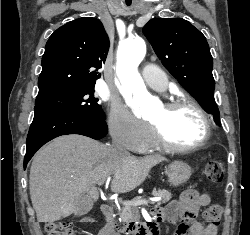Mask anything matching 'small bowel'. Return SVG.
<instances>
[{"mask_svg":"<svg viewBox=\"0 0 250 235\" xmlns=\"http://www.w3.org/2000/svg\"><path fill=\"white\" fill-rule=\"evenodd\" d=\"M210 196L195 190L184 191L178 200L170 202L164 208L153 211V218L159 222H174L180 215L182 222L177 226L173 235H217L218 228L213 225H202L194 220L195 214L210 204ZM99 235V233H98Z\"/></svg>","mask_w":250,"mask_h":235,"instance_id":"c3829d8e","label":"small bowel"}]
</instances>
